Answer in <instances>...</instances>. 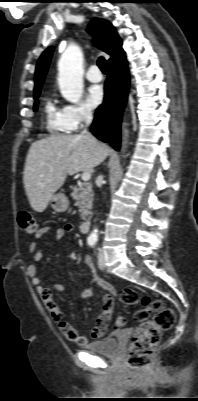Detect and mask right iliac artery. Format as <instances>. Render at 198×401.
<instances>
[{
  "instance_id": "right-iliac-artery-1",
  "label": "right iliac artery",
  "mask_w": 198,
  "mask_h": 401,
  "mask_svg": "<svg viewBox=\"0 0 198 401\" xmlns=\"http://www.w3.org/2000/svg\"><path fill=\"white\" fill-rule=\"evenodd\" d=\"M95 243H96V239H94V238H89V239H88V244H89L90 246H94Z\"/></svg>"
}]
</instances>
